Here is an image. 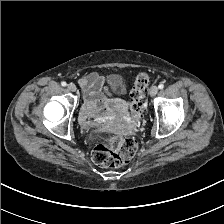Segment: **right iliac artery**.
Listing matches in <instances>:
<instances>
[{
  "label": "right iliac artery",
  "instance_id": "82829eb1",
  "mask_svg": "<svg viewBox=\"0 0 224 224\" xmlns=\"http://www.w3.org/2000/svg\"><path fill=\"white\" fill-rule=\"evenodd\" d=\"M61 85L65 87L67 85V83L65 81H63V82H61Z\"/></svg>",
  "mask_w": 224,
  "mask_h": 224
}]
</instances>
